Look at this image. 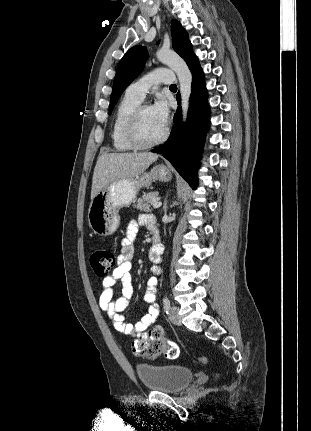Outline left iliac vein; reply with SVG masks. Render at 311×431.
Returning <instances> with one entry per match:
<instances>
[{
  "label": "left iliac vein",
  "instance_id": "4c4485c4",
  "mask_svg": "<svg viewBox=\"0 0 311 431\" xmlns=\"http://www.w3.org/2000/svg\"><path fill=\"white\" fill-rule=\"evenodd\" d=\"M169 318L171 322L175 325H181V317L179 315V309L176 306H172L169 311Z\"/></svg>",
  "mask_w": 311,
  "mask_h": 431
}]
</instances>
